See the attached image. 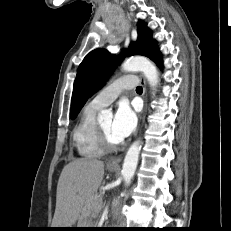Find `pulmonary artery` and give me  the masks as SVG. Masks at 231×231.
<instances>
[{
    "label": "pulmonary artery",
    "instance_id": "pulmonary-artery-1",
    "mask_svg": "<svg viewBox=\"0 0 231 231\" xmlns=\"http://www.w3.org/2000/svg\"><path fill=\"white\" fill-rule=\"evenodd\" d=\"M138 84V79L133 74L125 75L116 79L103 90H101L90 102V105L101 109L111 104L125 89L135 88Z\"/></svg>",
    "mask_w": 231,
    "mask_h": 231
}]
</instances>
